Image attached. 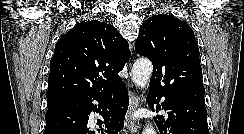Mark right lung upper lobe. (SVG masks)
Wrapping results in <instances>:
<instances>
[{
  "mask_svg": "<svg viewBox=\"0 0 244 134\" xmlns=\"http://www.w3.org/2000/svg\"><path fill=\"white\" fill-rule=\"evenodd\" d=\"M127 41L111 24H77L57 42L50 61L47 101L92 96L116 83L130 58Z\"/></svg>",
  "mask_w": 244,
  "mask_h": 134,
  "instance_id": "right-lung-upper-lobe-1",
  "label": "right lung upper lobe"
}]
</instances>
